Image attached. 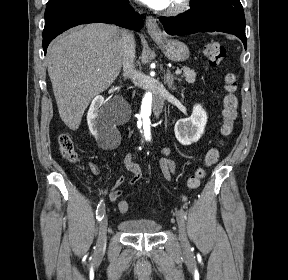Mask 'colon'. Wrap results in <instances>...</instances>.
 Returning <instances> with one entry per match:
<instances>
[{
  "mask_svg": "<svg viewBox=\"0 0 288 280\" xmlns=\"http://www.w3.org/2000/svg\"><path fill=\"white\" fill-rule=\"evenodd\" d=\"M203 54L210 66H218L225 57L226 50L219 42H209L203 48ZM224 89L225 96L223 98L222 109V134L228 136L232 133L234 123L237 118L238 98L236 96L237 89V77L234 73H227L224 76ZM58 146L62 156L69 162H76L78 160V154L75 149V145L71 136L67 133H62L58 137ZM220 147V145H219ZM220 157L219 148H212L208 150L204 157V163L202 167H199L194 174H192L187 180V186L189 189H196L199 187L201 180L204 178L206 168L216 164ZM128 204L126 201H122L120 209L124 212L128 211Z\"/></svg>",
  "mask_w": 288,
  "mask_h": 280,
  "instance_id": "obj_1",
  "label": "colon"
}]
</instances>
